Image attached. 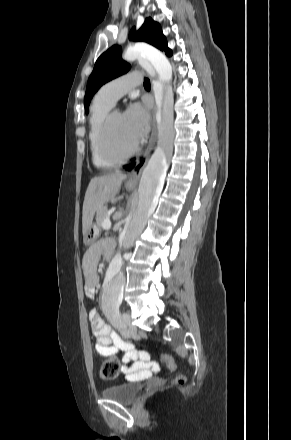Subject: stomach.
I'll use <instances>...</instances> for the list:
<instances>
[{
  "label": "stomach",
  "instance_id": "obj_1",
  "mask_svg": "<svg viewBox=\"0 0 291 440\" xmlns=\"http://www.w3.org/2000/svg\"><path fill=\"white\" fill-rule=\"evenodd\" d=\"M128 190H132L133 187L132 186H127ZM98 228L95 224H92L88 230L86 231L85 235H84V243L86 245H90L91 243H93L95 241V239L98 236Z\"/></svg>",
  "mask_w": 291,
  "mask_h": 440
}]
</instances>
